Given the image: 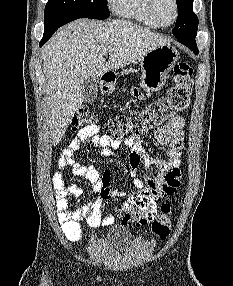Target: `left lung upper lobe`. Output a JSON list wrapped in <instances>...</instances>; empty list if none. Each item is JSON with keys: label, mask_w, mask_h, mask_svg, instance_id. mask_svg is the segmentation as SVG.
I'll list each match as a JSON object with an SVG mask.
<instances>
[{"label": "left lung upper lobe", "mask_w": 233, "mask_h": 286, "mask_svg": "<svg viewBox=\"0 0 233 286\" xmlns=\"http://www.w3.org/2000/svg\"><path fill=\"white\" fill-rule=\"evenodd\" d=\"M179 17L173 29L176 38L196 35L198 18L193 12V0H176Z\"/></svg>", "instance_id": "obj_1"}]
</instances>
